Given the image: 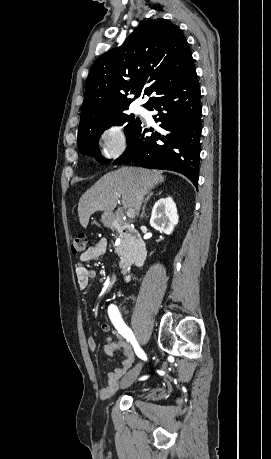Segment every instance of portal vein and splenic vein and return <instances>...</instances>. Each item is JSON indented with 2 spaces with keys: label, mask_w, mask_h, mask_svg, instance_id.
<instances>
[{
  "label": "portal vein and splenic vein",
  "mask_w": 271,
  "mask_h": 459,
  "mask_svg": "<svg viewBox=\"0 0 271 459\" xmlns=\"http://www.w3.org/2000/svg\"><path fill=\"white\" fill-rule=\"evenodd\" d=\"M128 218H133L134 214H135V210H127L126 212Z\"/></svg>",
  "instance_id": "obj_1"
}]
</instances>
